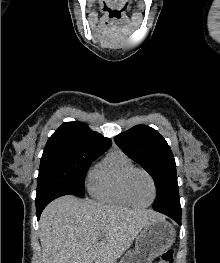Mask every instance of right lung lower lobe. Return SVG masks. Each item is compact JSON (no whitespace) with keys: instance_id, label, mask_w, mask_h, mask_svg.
<instances>
[{"instance_id":"98d812e1","label":"right lung lower lobe","mask_w":220,"mask_h":263,"mask_svg":"<svg viewBox=\"0 0 220 263\" xmlns=\"http://www.w3.org/2000/svg\"><path fill=\"white\" fill-rule=\"evenodd\" d=\"M66 195L65 193H53L49 196L41 199L36 200V209H37V219L39 220L42 210L54 199Z\"/></svg>"}]
</instances>
